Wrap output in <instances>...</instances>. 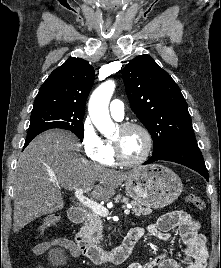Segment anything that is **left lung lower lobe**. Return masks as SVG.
Masks as SVG:
<instances>
[{"label":"left lung lower lobe","mask_w":221,"mask_h":268,"mask_svg":"<svg viewBox=\"0 0 221 268\" xmlns=\"http://www.w3.org/2000/svg\"><path fill=\"white\" fill-rule=\"evenodd\" d=\"M157 160L172 161L185 165L209 180L203 156L197 145L196 138H185L173 142L164 152L152 155L144 164H150Z\"/></svg>","instance_id":"1"}]
</instances>
